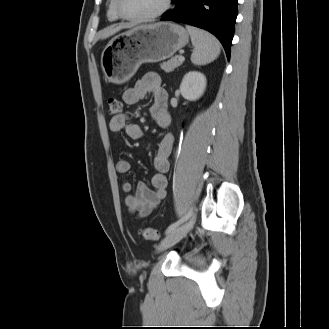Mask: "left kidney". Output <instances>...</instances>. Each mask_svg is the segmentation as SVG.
Segmentation results:
<instances>
[{
    "label": "left kidney",
    "mask_w": 329,
    "mask_h": 329,
    "mask_svg": "<svg viewBox=\"0 0 329 329\" xmlns=\"http://www.w3.org/2000/svg\"><path fill=\"white\" fill-rule=\"evenodd\" d=\"M206 89V77L198 71L188 72L180 84L181 95L189 100L199 99Z\"/></svg>",
    "instance_id": "1"
}]
</instances>
